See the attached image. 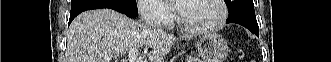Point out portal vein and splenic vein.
<instances>
[{
	"mask_svg": "<svg viewBox=\"0 0 331 62\" xmlns=\"http://www.w3.org/2000/svg\"><path fill=\"white\" fill-rule=\"evenodd\" d=\"M138 55H139L138 49L135 48L131 49L128 55V62H141V60L138 58Z\"/></svg>",
	"mask_w": 331,
	"mask_h": 62,
	"instance_id": "obj_1",
	"label": "portal vein and splenic vein"
}]
</instances>
